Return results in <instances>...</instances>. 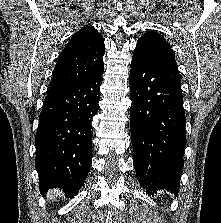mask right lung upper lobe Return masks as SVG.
I'll return each mask as SVG.
<instances>
[{"label": "right lung upper lobe", "mask_w": 221, "mask_h": 223, "mask_svg": "<svg viewBox=\"0 0 221 223\" xmlns=\"http://www.w3.org/2000/svg\"><path fill=\"white\" fill-rule=\"evenodd\" d=\"M104 40L93 26L72 36L61 52L48 93L77 85L104 70Z\"/></svg>", "instance_id": "1"}]
</instances>
